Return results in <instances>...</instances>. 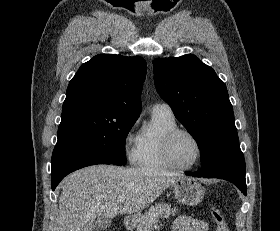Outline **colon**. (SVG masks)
Here are the masks:
<instances>
[{
	"mask_svg": "<svg viewBox=\"0 0 280 231\" xmlns=\"http://www.w3.org/2000/svg\"><path fill=\"white\" fill-rule=\"evenodd\" d=\"M211 215L216 225V231H229L226 220L219 208L212 206Z\"/></svg>",
	"mask_w": 280,
	"mask_h": 231,
	"instance_id": "5ec220e1",
	"label": "colon"
}]
</instances>
